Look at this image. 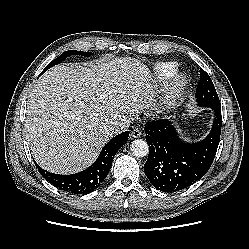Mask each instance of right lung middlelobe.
Returning <instances> with one entry per match:
<instances>
[{
  "instance_id": "right-lung-middle-lobe-1",
  "label": "right lung middle lobe",
  "mask_w": 249,
  "mask_h": 249,
  "mask_svg": "<svg viewBox=\"0 0 249 249\" xmlns=\"http://www.w3.org/2000/svg\"><path fill=\"white\" fill-rule=\"evenodd\" d=\"M70 55H82V56H86V57H90L92 55V53L89 52H81V51H76V50H69V51H65L63 52L58 58H56L55 60H53L50 64L47 65V67L44 69L43 72H45L46 70H48L49 68H51L52 66L59 64L60 62H62L64 59H66L68 56ZM42 72V73H43Z\"/></svg>"
}]
</instances>
